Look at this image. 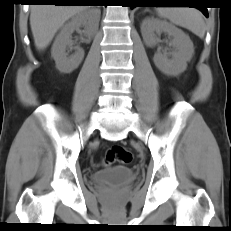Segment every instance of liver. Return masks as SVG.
Wrapping results in <instances>:
<instances>
[{
	"mask_svg": "<svg viewBox=\"0 0 231 231\" xmlns=\"http://www.w3.org/2000/svg\"><path fill=\"white\" fill-rule=\"evenodd\" d=\"M87 9L82 5H33L30 26L36 48L44 50L66 21Z\"/></svg>",
	"mask_w": 231,
	"mask_h": 231,
	"instance_id": "6515ba94",
	"label": "liver"
}]
</instances>
